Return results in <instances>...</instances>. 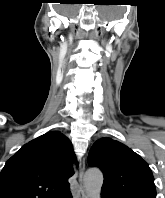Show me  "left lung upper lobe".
Instances as JSON below:
<instances>
[{"label": "left lung upper lobe", "mask_w": 165, "mask_h": 198, "mask_svg": "<svg viewBox=\"0 0 165 198\" xmlns=\"http://www.w3.org/2000/svg\"><path fill=\"white\" fill-rule=\"evenodd\" d=\"M88 164L102 170V189L118 198H156L149 165L120 142L111 138L97 140L89 151Z\"/></svg>", "instance_id": "obj_1"}]
</instances>
